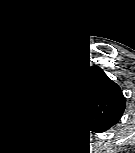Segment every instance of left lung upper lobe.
<instances>
[{
  "label": "left lung upper lobe",
  "instance_id": "5c2ea615",
  "mask_svg": "<svg viewBox=\"0 0 135 153\" xmlns=\"http://www.w3.org/2000/svg\"><path fill=\"white\" fill-rule=\"evenodd\" d=\"M77 99L87 124L104 130L115 123L125 108L120 87L100 69L88 71L76 89Z\"/></svg>",
  "mask_w": 135,
  "mask_h": 153
}]
</instances>
